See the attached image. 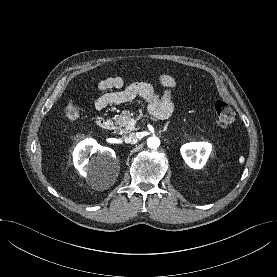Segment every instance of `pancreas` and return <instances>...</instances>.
<instances>
[{
  "label": "pancreas",
  "instance_id": "cf45deb5",
  "mask_svg": "<svg viewBox=\"0 0 277 277\" xmlns=\"http://www.w3.org/2000/svg\"><path fill=\"white\" fill-rule=\"evenodd\" d=\"M132 118L133 115L130 113V111H123L121 115L115 118L116 126L114 129L119 133H129L135 130L136 128L129 123Z\"/></svg>",
  "mask_w": 277,
  "mask_h": 277
}]
</instances>
